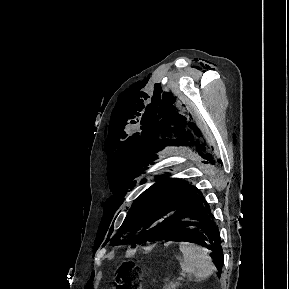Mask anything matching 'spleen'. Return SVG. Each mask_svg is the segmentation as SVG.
Listing matches in <instances>:
<instances>
[{
    "label": "spleen",
    "mask_w": 289,
    "mask_h": 289,
    "mask_svg": "<svg viewBox=\"0 0 289 289\" xmlns=\"http://www.w3.org/2000/svg\"><path fill=\"white\" fill-rule=\"evenodd\" d=\"M179 250L183 255L180 267L183 273L192 274L197 281H202L211 276L215 266L208 250L188 242H180Z\"/></svg>",
    "instance_id": "3e777b00"
}]
</instances>
